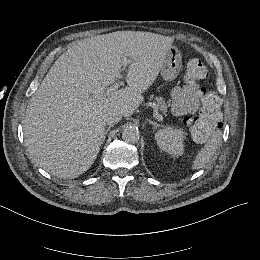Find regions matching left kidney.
<instances>
[{
	"mask_svg": "<svg viewBox=\"0 0 260 260\" xmlns=\"http://www.w3.org/2000/svg\"><path fill=\"white\" fill-rule=\"evenodd\" d=\"M158 145L172 156H179L183 151L184 134L182 130L166 127L155 134Z\"/></svg>",
	"mask_w": 260,
	"mask_h": 260,
	"instance_id": "obj_1",
	"label": "left kidney"
}]
</instances>
